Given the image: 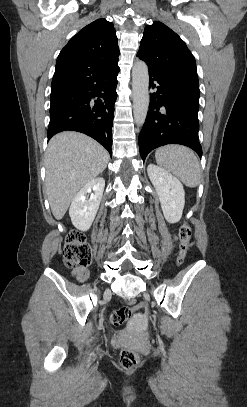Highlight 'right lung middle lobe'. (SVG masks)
Instances as JSON below:
<instances>
[{
    "mask_svg": "<svg viewBox=\"0 0 247 407\" xmlns=\"http://www.w3.org/2000/svg\"><path fill=\"white\" fill-rule=\"evenodd\" d=\"M65 91H67V90H61V91H51V95H50V97H53V96L59 95V94H61V93L65 92Z\"/></svg>",
    "mask_w": 247,
    "mask_h": 407,
    "instance_id": "right-lung-middle-lobe-1",
    "label": "right lung middle lobe"
}]
</instances>
